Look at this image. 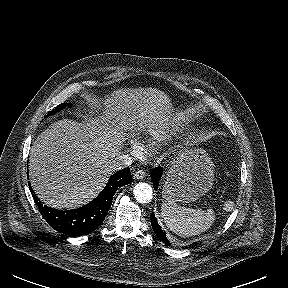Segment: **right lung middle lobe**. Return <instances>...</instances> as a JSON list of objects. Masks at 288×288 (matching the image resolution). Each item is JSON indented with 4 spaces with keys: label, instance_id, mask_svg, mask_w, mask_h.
Returning <instances> with one entry per match:
<instances>
[{
    "label": "right lung middle lobe",
    "instance_id": "right-lung-middle-lobe-1",
    "mask_svg": "<svg viewBox=\"0 0 288 288\" xmlns=\"http://www.w3.org/2000/svg\"><path fill=\"white\" fill-rule=\"evenodd\" d=\"M65 106H68V104H60L58 107H56L54 110L49 112V115H53L56 112H59L61 109L65 108Z\"/></svg>",
    "mask_w": 288,
    "mask_h": 288
}]
</instances>
